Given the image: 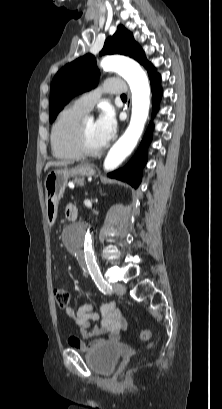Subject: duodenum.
<instances>
[{"label": "duodenum", "mask_w": 222, "mask_h": 409, "mask_svg": "<svg viewBox=\"0 0 222 409\" xmlns=\"http://www.w3.org/2000/svg\"><path fill=\"white\" fill-rule=\"evenodd\" d=\"M77 215H78V212H77L76 209H74V210L69 214L68 219H69L70 221H75V220L77 219Z\"/></svg>", "instance_id": "obj_1"}]
</instances>
